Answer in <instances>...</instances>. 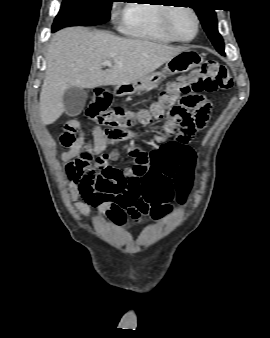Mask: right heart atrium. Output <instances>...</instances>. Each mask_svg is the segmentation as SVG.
I'll list each match as a JSON object with an SVG mask.
<instances>
[{"label": "right heart atrium", "instance_id": "right-heart-atrium-1", "mask_svg": "<svg viewBox=\"0 0 270 338\" xmlns=\"http://www.w3.org/2000/svg\"><path fill=\"white\" fill-rule=\"evenodd\" d=\"M115 17H116V15H115ZM124 18H125V15L122 17V19H121V22L123 23V21H124Z\"/></svg>", "mask_w": 270, "mask_h": 338}]
</instances>
